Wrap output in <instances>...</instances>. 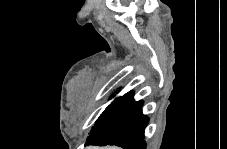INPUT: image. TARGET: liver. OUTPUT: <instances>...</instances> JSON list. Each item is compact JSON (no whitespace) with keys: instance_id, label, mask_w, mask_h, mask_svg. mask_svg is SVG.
<instances>
[{"instance_id":"1","label":"liver","mask_w":227,"mask_h":149,"mask_svg":"<svg viewBox=\"0 0 227 149\" xmlns=\"http://www.w3.org/2000/svg\"><path fill=\"white\" fill-rule=\"evenodd\" d=\"M89 149H117V148L116 147L99 148V147L91 146L89 147Z\"/></svg>"}]
</instances>
